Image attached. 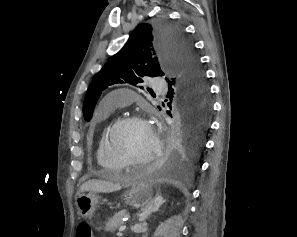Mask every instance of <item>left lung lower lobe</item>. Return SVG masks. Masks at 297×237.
<instances>
[{"instance_id": "left-lung-lower-lobe-1", "label": "left lung lower lobe", "mask_w": 297, "mask_h": 237, "mask_svg": "<svg viewBox=\"0 0 297 237\" xmlns=\"http://www.w3.org/2000/svg\"><path fill=\"white\" fill-rule=\"evenodd\" d=\"M173 94L169 84L167 97L172 100ZM175 103L182 118V128L170 139L165 159L166 167L174 169L190 165L199 156L204 146L211 112L210 103L197 105L189 97L177 93Z\"/></svg>"}]
</instances>
